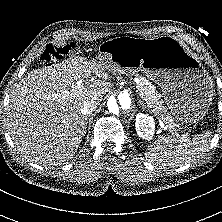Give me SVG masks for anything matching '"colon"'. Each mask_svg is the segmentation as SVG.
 Here are the masks:
<instances>
[{"label":"colon","mask_w":222,"mask_h":222,"mask_svg":"<svg viewBox=\"0 0 222 222\" xmlns=\"http://www.w3.org/2000/svg\"><path fill=\"white\" fill-rule=\"evenodd\" d=\"M71 47H72L71 45H65L62 47L49 45L42 53L41 60L45 63L56 62L65 57L69 53Z\"/></svg>","instance_id":"obj_1"}]
</instances>
